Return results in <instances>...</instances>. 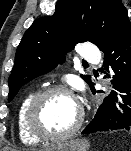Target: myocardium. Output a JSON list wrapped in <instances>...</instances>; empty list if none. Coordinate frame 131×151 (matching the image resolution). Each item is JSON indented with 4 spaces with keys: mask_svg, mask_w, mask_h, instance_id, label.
<instances>
[{
    "mask_svg": "<svg viewBox=\"0 0 131 151\" xmlns=\"http://www.w3.org/2000/svg\"><path fill=\"white\" fill-rule=\"evenodd\" d=\"M55 93H63L71 97L77 104L78 115L76 121L68 130L59 134H49L39 128L37 117L41 103L45 100V98ZM83 121L84 109L82 104L80 103L76 95L73 93V91L64 85H51L38 91L30 101L25 117L26 127L32 136L39 140L54 142L62 141L73 136L80 129Z\"/></svg>",
    "mask_w": 131,
    "mask_h": 151,
    "instance_id": "obj_1",
    "label": "myocardium"
}]
</instances>
